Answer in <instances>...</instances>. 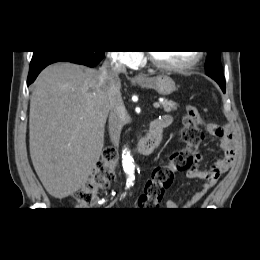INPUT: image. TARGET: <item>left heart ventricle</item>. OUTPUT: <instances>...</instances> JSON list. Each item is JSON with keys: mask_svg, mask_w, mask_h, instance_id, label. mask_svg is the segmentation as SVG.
Segmentation results:
<instances>
[{"mask_svg": "<svg viewBox=\"0 0 260 260\" xmlns=\"http://www.w3.org/2000/svg\"><path fill=\"white\" fill-rule=\"evenodd\" d=\"M153 54L162 63L170 65L185 64L196 56L195 51H155Z\"/></svg>", "mask_w": 260, "mask_h": 260, "instance_id": "1", "label": "left heart ventricle"}]
</instances>
